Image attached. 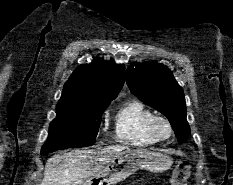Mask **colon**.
I'll list each match as a JSON object with an SVG mask.
<instances>
[{
  "instance_id": "5ec220e1",
  "label": "colon",
  "mask_w": 233,
  "mask_h": 185,
  "mask_svg": "<svg viewBox=\"0 0 233 185\" xmlns=\"http://www.w3.org/2000/svg\"><path fill=\"white\" fill-rule=\"evenodd\" d=\"M191 166L189 161L183 160L178 162L171 176V184L172 185H187V181L190 177Z\"/></svg>"
}]
</instances>
